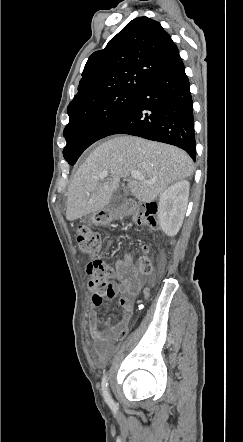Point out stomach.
Wrapping results in <instances>:
<instances>
[{"label": "stomach", "instance_id": "obj_1", "mask_svg": "<svg viewBox=\"0 0 243 442\" xmlns=\"http://www.w3.org/2000/svg\"><path fill=\"white\" fill-rule=\"evenodd\" d=\"M116 217L117 212L114 209L107 207L89 214L87 218L90 224L102 226L109 224Z\"/></svg>", "mask_w": 243, "mask_h": 442}]
</instances>
